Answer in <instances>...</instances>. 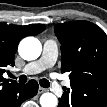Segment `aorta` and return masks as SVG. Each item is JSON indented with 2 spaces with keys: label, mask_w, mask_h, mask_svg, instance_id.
Returning <instances> with one entry per match:
<instances>
[{
  "label": "aorta",
  "mask_w": 107,
  "mask_h": 107,
  "mask_svg": "<svg viewBox=\"0 0 107 107\" xmlns=\"http://www.w3.org/2000/svg\"><path fill=\"white\" fill-rule=\"evenodd\" d=\"M42 51L40 41L34 37L23 39L19 45V54L24 60L37 59ZM40 105L42 107H56L58 105L57 97L52 93H44L40 97Z\"/></svg>",
  "instance_id": "1"
}]
</instances>
